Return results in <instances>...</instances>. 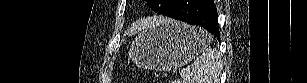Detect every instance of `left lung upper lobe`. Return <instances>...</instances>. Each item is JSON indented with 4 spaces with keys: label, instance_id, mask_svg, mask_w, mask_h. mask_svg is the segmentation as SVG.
<instances>
[{
    "label": "left lung upper lobe",
    "instance_id": "1",
    "mask_svg": "<svg viewBox=\"0 0 307 83\" xmlns=\"http://www.w3.org/2000/svg\"><path fill=\"white\" fill-rule=\"evenodd\" d=\"M147 4L158 14L165 15L174 0H146Z\"/></svg>",
    "mask_w": 307,
    "mask_h": 83
}]
</instances>
